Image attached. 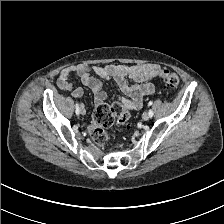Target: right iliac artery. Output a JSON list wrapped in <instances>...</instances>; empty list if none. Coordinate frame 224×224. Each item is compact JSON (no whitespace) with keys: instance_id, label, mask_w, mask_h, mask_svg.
Returning a JSON list of instances; mask_svg holds the SVG:
<instances>
[{"instance_id":"82829eb1","label":"right iliac artery","mask_w":224,"mask_h":224,"mask_svg":"<svg viewBox=\"0 0 224 224\" xmlns=\"http://www.w3.org/2000/svg\"><path fill=\"white\" fill-rule=\"evenodd\" d=\"M79 113H80L79 104L76 103V115H79Z\"/></svg>"}]
</instances>
